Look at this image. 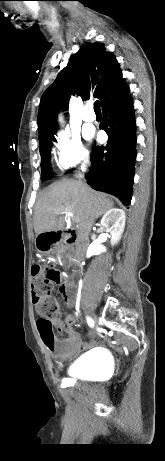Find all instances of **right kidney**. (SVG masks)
Segmentation results:
<instances>
[{"instance_id":"1","label":"right kidney","mask_w":165,"mask_h":461,"mask_svg":"<svg viewBox=\"0 0 165 461\" xmlns=\"http://www.w3.org/2000/svg\"><path fill=\"white\" fill-rule=\"evenodd\" d=\"M125 212L122 209L113 208L105 213L101 219V225L111 234V245H116L121 239L125 227ZM106 249L102 245L92 244L89 246L87 254L97 255Z\"/></svg>"}]
</instances>
